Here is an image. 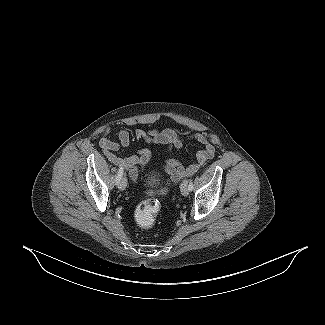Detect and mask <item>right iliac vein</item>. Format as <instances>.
Wrapping results in <instances>:
<instances>
[{
  "mask_svg": "<svg viewBox=\"0 0 325 325\" xmlns=\"http://www.w3.org/2000/svg\"><path fill=\"white\" fill-rule=\"evenodd\" d=\"M126 187H127V179L123 177L118 183V188L123 191L126 189Z\"/></svg>",
  "mask_w": 325,
  "mask_h": 325,
  "instance_id": "1",
  "label": "right iliac vein"
}]
</instances>
